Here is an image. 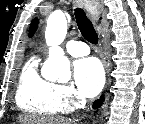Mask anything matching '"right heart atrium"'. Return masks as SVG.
<instances>
[{"label": "right heart atrium", "instance_id": "1", "mask_svg": "<svg viewBox=\"0 0 145 124\" xmlns=\"http://www.w3.org/2000/svg\"><path fill=\"white\" fill-rule=\"evenodd\" d=\"M56 97L57 104L63 112H70L82 103L80 95L73 87L68 85H57Z\"/></svg>", "mask_w": 145, "mask_h": 124}]
</instances>
